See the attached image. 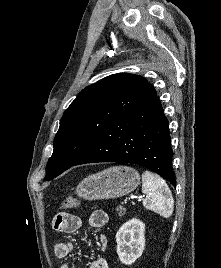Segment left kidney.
I'll return each mask as SVG.
<instances>
[{"label": "left kidney", "mask_w": 221, "mask_h": 268, "mask_svg": "<svg viewBox=\"0 0 221 268\" xmlns=\"http://www.w3.org/2000/svg\"><path fill=\"white\" fill-rule=\"evenodd\" d=\"M145 224L139 219L124 223L116 233L117 254L125 265L138 259L145 247Z\"/></svg>", "instance_id": "1"}]
</instances>
